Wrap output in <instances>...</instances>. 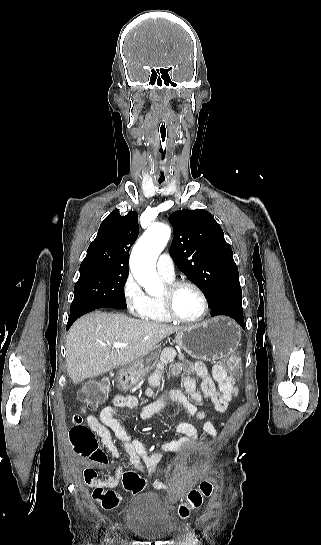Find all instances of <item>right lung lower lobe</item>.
<instances>
[{
	"label": "right lung lower lobe",
	"instance_id": "right-lung-lower-lobe-1",
	"mask_svg": "<svg viewBox=\"0 0 321 545\" xmlns=\"http://www.w3.org/2000/svg\"><path fill=\"white\" fill-rule=\"evenodd\" d=\"M106 308L125 309V308H127V305H126V302H125V303H119L117 305H114V307H106ZM94 309L95 308L87 307V308L76 309V310L70 312L69 320H68V323H67V329H69L71 327V325L73 324V322L76 319H78L80 316H82V315H84V314H86L88 312H91Z\"/></svg>",
	"mask_w": 321,
	"mask_h": 545
}]
</instances>
